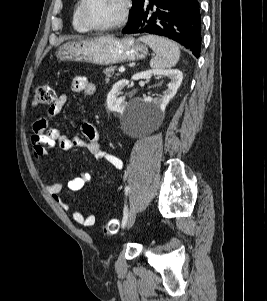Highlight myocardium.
<instances>
[{
  "mask_svg": "<svg viewBox=\"0 0 267 301\" xmlns=\"http://www.w3.org/2000/svg\"><path fill=\"white\" fill-rule=\"evenodd\" d=\"M88 2L89 0H82L80 7L81 19L84 25L89 30L93 31H112L122 27L127 22L131 11V0H122V11L119 18L115 22L106 25H94L90 22V20L87 17Z\"/></svg>",
  "mask_w": 267,
  "mask_h": 301,
  "instance_id": "obj_1",
  "label": "myocardium"
}]
</instances>
